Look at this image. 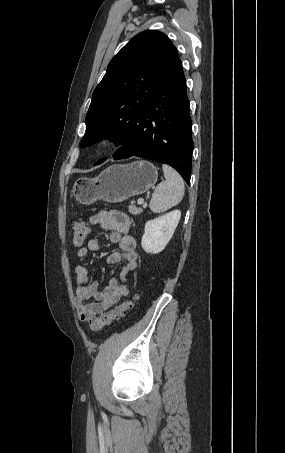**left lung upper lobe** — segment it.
Returning <instances> with one entry per match:
<instances>
[{
  "label": "left lung upper lobe",
  "instance_id": "5c2ea615",
  "mask_svg": "<svg viewBox=\"0 0 285 453\" xmlns=\"http://www.w3.org/2000/svg\"><path fill=\"white\" fill-rule=\"evenodd\" d=\"M176 55V47L162 32L146 30L132 38L112 58L93 92L80 147L103 138L121 145Z\"/></svg>",
  "mask_w": 285,
  "mask_h": 453
}]
</instances>
